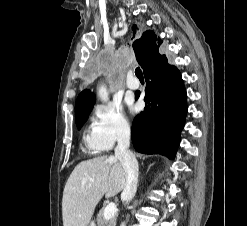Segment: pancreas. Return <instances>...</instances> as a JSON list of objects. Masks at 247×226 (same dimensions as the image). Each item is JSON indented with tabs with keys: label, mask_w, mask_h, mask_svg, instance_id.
I'll return each mask as SVG.
<instances>
[{
	"label": "pancreas",
	"mask_w": 247,
	"mask_h": 226,
	"mask_svg": "<svg viewBox=\"0 0 247 226\" xmlns=\"http://www.w3.org/2000/svg\"><path fill=\"white\" fill-rule=\"evenodd\" d=\"M104 208H102L97 214V225L98 226H116L117 215H114L110 219L104 218Z\"/></svg>",
	"instance_id": "obj_1"
}]
</instances>
